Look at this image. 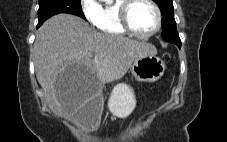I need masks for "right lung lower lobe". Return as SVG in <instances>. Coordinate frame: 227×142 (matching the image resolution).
Returning a JSON list of instances; mask_svg holds the SVG:
<instances>
[{
  "mask_svg": "<svg viewBox=\"0 0 227 142\" xmlns=\"http://www.w3.org/2000/svg\"><path fill=\"white\" fill-rule=\"evenodd\" d=\"M40 26H41L40 24L37 25V27H40Z\"/></svg>",
  "mask_w": 227,
  "mask_h": 142,
  "instance_id": "1",
  "label": "right lung lower lobe"
}]
</instances>
